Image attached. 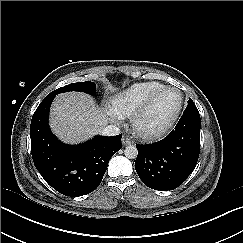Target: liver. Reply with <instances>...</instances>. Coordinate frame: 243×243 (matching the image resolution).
Segmentation results:
<instances>
[{
	"label": "liver",
	"instance_id": "6515ba94",
	"mask_svg": "<svg viewBox=\"0 0 243 243\" xmlns=\"http://www.w3.org/2000/svg\"><path fill=\"white\" fill-rule=\"evenodd\" d=\"M107 123L104 111L84 93L57 95L50 111V127L63 142L69 144L80 143L100 133Z\"/></svg>",
	"mask_w": 243,
	"mask_h": 243
}]
</instances>
